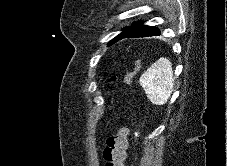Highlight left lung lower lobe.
Masks as SVG:
<instances>
[{
  "label": "left lung lower lobe",
  "mask_w": 227,
  "mask_h": 166,
  "mask_svg": "<svg viewBox=\"0 0 227 166\" xmlns=\"http://www.w3.org/2000/svg\"><path fill=\"white\" fill-rule=\"evenodd\" d=\"M158 35H160L159 28L154 26L143 25V22H136L132 24L131 27L124 30L121 34L116 36L109 45L115 43L116 41L122 38H132V37L137 38V37L158 36Z\"/></svg>",
  "instance_id": "1"
}]
</instances>
